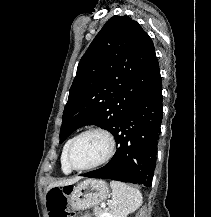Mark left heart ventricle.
Returning <instances> with one entry per match:
<instances>
[{
  "mask_svg": "<svg viewBox=\"0 0 211 217\" xmlns=\"http://www.w3.org/2000/svg\"><path fill=\"white\" fill-rule=\"evenodd\" d=\"M109 148L104 135L91 132L83 135L74 145L71 159L75 166L84 167L100 161Z\"/></svg>",
  "mask_w": 211,
  "mask_h": 217,
  "instance_id": "b2bd125f",
  "label": "left heart ventricle"
}]
</instances>
